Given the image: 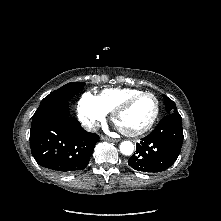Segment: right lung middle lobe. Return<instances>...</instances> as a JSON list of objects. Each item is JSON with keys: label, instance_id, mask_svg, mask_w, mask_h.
I'll list each match as a JSON object with an SVG mask.
<instances>
[{"label": "right lung middle lobe", "instance_id": "1", "mask_svg": "<svg viewBox=\"0 0 221 221\" xmlns=\"http://www.w3.org/2000/svg\"><path fill=\"white\" fill-rule=\"evenodd\" d=\"M83 87V82H71L53 91L41 101V104L34 115L48 107L68 102V100L76 95Z\"/></svg>", "mask_w": 221, "mask_h": 221}]
</instances>
